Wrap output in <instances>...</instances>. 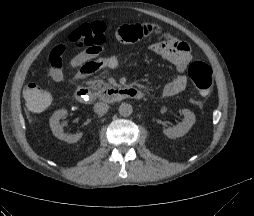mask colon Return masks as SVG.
<instances>
[{"instance_id": "1", "label": "colon", "mask_w": 254, "mask_h": 216, "mask_svg": "<svg viewBox=\"0 0 254 216\" xmlns=\"http://www.w3.org/2000/svg\"><path fill=\"white\" fill-rule=\"evenodd\" d=\"M110 29V25L102 22L85 24L73 32L70 41L76 47L95 48L101 51L111 40L108 35ZM188 75L202 96L210 93L213 86V73L208 64L201 61L190 62ZM23 95L27 106L34 112L46 110L51 102V95L36 83L29 84Z\"/></svg>"}]
</instances>
